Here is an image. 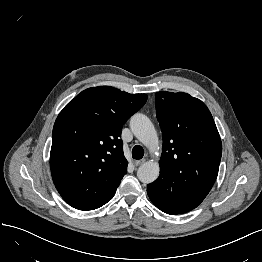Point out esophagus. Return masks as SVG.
Returning <instances> with one entry per match:
<instances>
[{"label":"esophagus","mask_w":262,"mask_h":262,"mask_svg":"<svg viewBox=\"0 0 262 262\" xmlns=\"http://www.w3.org/2000/svg\"><path fill=\"white\" fill-rule=\"evenodd\" d=\"M145 162V159H141V160H134L133 163L135 166H139L141 164H143Z\"/></svg>","instance_id":"34e87169"}]
</instances>
